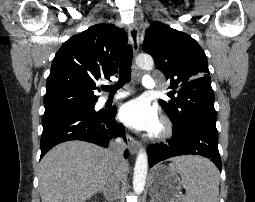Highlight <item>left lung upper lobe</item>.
<instances>
[{
  "mask_svg": "<svg viewBox=\"0 0 255 202\" xmlns=\"http://www.w3.org/2000/svg\"><path fill=\"white\" fill-rule=\"evenodd\" d=\"M143 50L171 83L173 91L168 96L173 102L159 103L174 130L194 126L216 129L214 93L207 58L199 44L188 34L156 21L145 32Z\"/></svg>",
  "mask_w": 255,
  "mask_h": 202,
  "instance_id": "5c2ea615",
  "label": "left lung upper lobe"
}]
</instances>
